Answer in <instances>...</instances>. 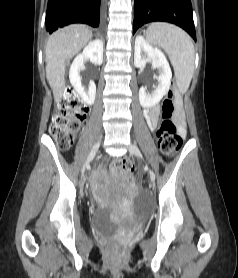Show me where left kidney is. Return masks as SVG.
Segmentation results:
<instances>
[{"instance_id":"1","label":"left kidney","mask_w":238,"mask_h":278,"mask_svg":"<svg viewBox=\"0 0 238 278\" xmlns=\"http://www.w3.org/2000/svg\"><path fill=\"white\" fill-rule=\"evenodd\" d=\"M148 62L152 63L154 69H158L159 75L156 77L158 85L152 93H147L145 87L139 90V101L144 108H151L158 104L169 91L172 72L164 53L152 47L142 36H137L134 49L135 66L143 69Z\"/></svg>"}]
</instances>
